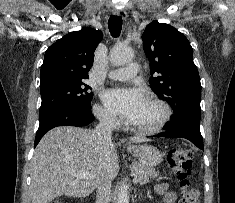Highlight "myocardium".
I'll return each instance as SVG.
<instances>
[{
	"instance_id": "myocardium-1",
	"label": "myocardium",
	"mask_w": 235,
	"mask_h": 203,
	"mask_svg": "<svg viewBox=\"0 0 235 203\" xmlns=\"http://www.w3.org/2000/svg\"><path fill=\"white\" fill-rule=\"evenodd\" d=\"M147 101L157 105L161 110V115L159 119L150 126H136L129 124L132 131L141 135H152L161 132L172 117V109L166 101L159 98H149Z\"/></svg>"
}]
</instances>
